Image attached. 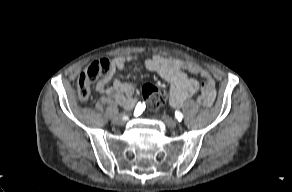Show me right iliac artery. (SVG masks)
<instances>
[{
	"label": "right iliac artery",
	"instance_id": "1",
	"mask_svg": "<svg viewBox=\"0 0 292 192\" xmlns=\"http://www.w3.org/2000/svg\"><path fill=\"white\" fill-rule=\"evenodd\" d=\"M144 109H145V104L139 102L137 104V106H136L135 113L142 112ZM131 119H132V121H134L136 119V116L134 114H132V118Z\"/></svg>",
	"mask_w": 292,
	"mask_h": 192
}]
</instances>
